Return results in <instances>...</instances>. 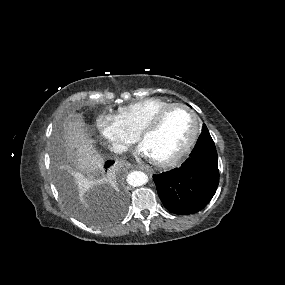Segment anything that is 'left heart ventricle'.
Here are the masks:
<instances>
[{
    "label": "left heart ventricle",
    "instance_id": "1",
    "mask_svg": "<svg viewBox=\"0 0 285 285\" xmlns=\"http://www.w3.org/2000/svg\"><path fill=\"white\" fill-rule=\"evenodd\" d=\"M194 130L191 116L183 109H176L153 132L143 139L152 159L166 160L176 155L189 141Z\"/></svg>",
    "mask_w": 285,
    "mask_h": 285
}]
</instances>
